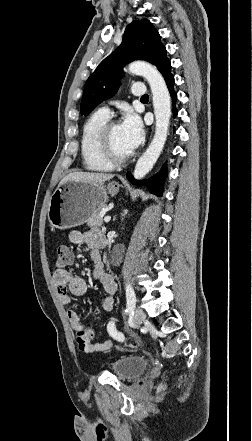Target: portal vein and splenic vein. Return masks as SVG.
<instances>
[{
    "instance_id": "obj_1",
    "label": "portal vein and splenic vein",
    "mask_w": 252,
    "mask_h": 441,
    "mask_svg": "<svg viewBox=\"0 0 252 441\" xmlns=\"http://www.w3.org/2000/svg\"><path fill=\"white\" fill-rule=\"evenodd\" d=\"M110 220H111V217H110V216H106V217H104V222L108 223Z\"/></svg>"
}]
</instances>
